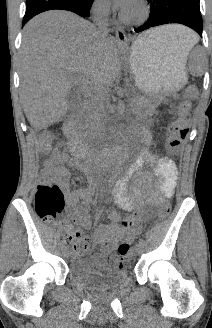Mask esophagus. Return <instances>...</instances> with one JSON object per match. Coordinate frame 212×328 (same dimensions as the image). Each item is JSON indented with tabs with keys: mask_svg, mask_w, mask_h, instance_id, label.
Segmentation results:
<instances>
[{
	"mask_svg": "<svg viewBox=\"0 0 212 328\" xmlns=\"http://www.w3.org/2000/svg\"><path fill=\"white\" fill-rule=\"evenodd\" d=\"M115 36L118 42L123 43L126 41V34L118 22H115Z\"/></svg>",
	"mask_w": 212,
	"mask_h": 328,
	"instance_id": "1",
	"label": "esophagus"
}]
</instances>
